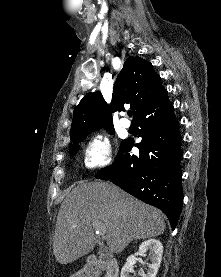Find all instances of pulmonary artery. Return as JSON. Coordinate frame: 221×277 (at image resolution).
<instances>
[{"label":"pulmonary artery","mask_w":221,"mask_h":277,"mask_svg":"<svg viewBox=\"0 0 221 277\" xmlns=\"http://www.w3.org/2000/svg\"><path fill=\"white\" fill-rule=\"evenodd\" d=\"M120 124L124 128H129L130 127V121L126 119L125 117L120 119Z\"/></svg>","instance_id":"e3ab8cb5"}]
</instances>
